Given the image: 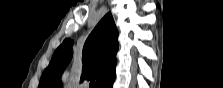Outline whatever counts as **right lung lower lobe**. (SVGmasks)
I'll return each instance as SVG.
<instances>
[{
    "label": "right lung lower lobe",
    "mask_w": 223,
    "mask_h": 88,
    "mask_svg": "<svg viewBox=\"0 0 223 88\" xmlns=\"http://www.w3.org/2000/svg\"><path fill=\"white\" fill-rule=\"evenodd\" d=\"M114 80H111L105 84H103L102 86H100L101 88H112Z\"/></svg>",
    "instance_id": "1"
}]
</instances>
